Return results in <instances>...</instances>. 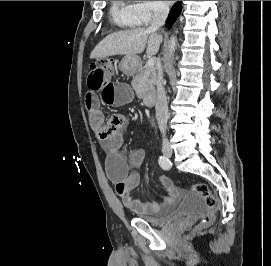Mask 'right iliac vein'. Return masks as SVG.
I'll list each match as a JSON object with an SVG mask.
<instances>
[{
    "instance_id": "1",
    "label": "right iliac vein",
    "mask_w": 271,
    "mask_h": 266,
    "mask_svg": "<svg viewBox=\"0 0 271 266\" xmlns=\"http://www.w3.org/2000/svg\"><path fill=\"white\" fill-rule=\"evenodd\" d=\"M162 152L168 158H170L172 156L173 150L171 148V145L168 142H164L163 143V145H162Z\"/></svg>"
}]
</instances>
